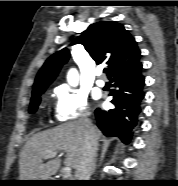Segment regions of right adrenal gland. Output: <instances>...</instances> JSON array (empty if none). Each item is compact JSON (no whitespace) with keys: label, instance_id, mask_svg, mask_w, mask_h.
Masks as SVG:
<instances>
[{"label":"right adrenal gland","instance_id":"1","mask_svg":"<svg viewBox=\"0 0 178 186\" xmlns=\"http://www.w3.org/2000/svg\"><path fill=\"white\" fill-rule=\"evenodd\" d=\"M95 169H96V164L94 163L93 172L95 171Z\"/></svg>","mask_w":178,"mask_h":186}]
</instances>
